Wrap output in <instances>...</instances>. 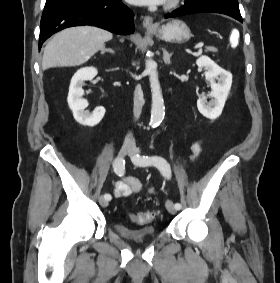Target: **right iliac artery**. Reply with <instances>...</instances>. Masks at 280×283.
Returning <instances> with one entry per match:
<instances>
[{"mask_svg":"<svg viewBox=\"0 0 280 283\" xmlns=\"http://www.w3.org/2000/svg\"><path fill=\"white\" fill-rule=\"evenodd\" d=\"M113 168H114V172L118 175V176H123L125 174V160L122 158H116L114 163H113ZM104 197L109 201L111 200V195L110 194H105Z\"/></svg>","mask_w":280,"mask_h":283,"instance_id":"right-iliac-artery-1","label":"right iliac artery"}]
</instances>
